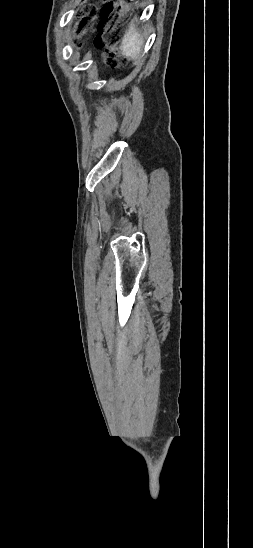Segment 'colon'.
Instances as JSON below:
<instances>
[{"label": "colon", "mask_w": 253, "mask_h": 548, "mask_svg": "<svg viewBox=\"0 0 253 548\" xmlns=\"http://www.w3.org/2000/svg\"><path fill=\"white\" fill-rule=\"evenodd\" d=\"M103 18L98 22L101 32L95 38L97 48L103 50L104 60L107 64L116 66L120 61V53L117 44L121 38L119 28V14L114 2L105 1L102 7ZM95 19V12L85 15L78 24L77 35H82Z\"/></svg>", "instance_id": "colon-1"}]
</instances>
